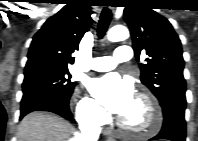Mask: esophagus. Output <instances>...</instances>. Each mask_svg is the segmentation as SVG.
Instances as JSON below:
<instances>
[{"mask_svg":"<svg viewBox=\"0 0 198 141\" xmlns=\"http://www.w3.org/2000/svg\"><path fill=\"white\" fill-rule=\"evenodd\" d=\"M105 134L108 136V140H114V135L110 130H106Z\"/></svg>","mask_w":198,"mask_h":141,"instance_id":"1","label":"esophagus"}]
</instances>
